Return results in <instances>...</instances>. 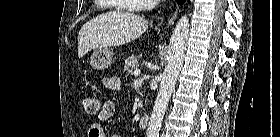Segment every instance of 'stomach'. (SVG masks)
<instances>
[{"mask_svg":"<svg viewBox=\"0 0 280 137\" xmlns=\"http://www.w3.org/2000/svg\"><path fill=\"white\" fill-rule=\"evenodd\" d=\"M112 57L113 52L110 49H97L90 58V64L96 70H104L111 65Z\"/></svg>","mask_w":280,"mask_h":137,"instance_id":"obj_1","label":"stomach"}]
</instances>
